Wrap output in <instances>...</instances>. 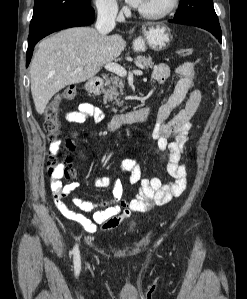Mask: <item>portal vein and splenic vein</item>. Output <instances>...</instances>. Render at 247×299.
I'll return each instance as SVG.
<instances>
[{"mask_svg": "<svg viewBox=\"0 0 247 299\" xmlns=\"http://www.w3.org/2000/svg\"><path fill=\"white\" fill-rule=\"evenodd\" d=\"M105 69L110 71V72H113L119 76H122V77H125L127 75V72L125 70L124 67H122L121 65L117 64V63H107L105 65ZM134 74L136 75H142L143 72L141 70H134L133 71Z\"/></svg>", "mask_w": 247, "mask_h": 299, "instance_id": "obj_1", "label": "portal vein and splenic vein"}]
</instances>
